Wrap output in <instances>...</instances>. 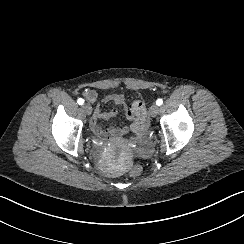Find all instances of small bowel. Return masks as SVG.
I'll return each mask as SVG.
<instances>
[{
  "mask_svg": "<svg viewBox=\"0 0 244 244\" xmlns=\"http://www.w3.org/2000/svg\"><path fill=\"white\" fill-rule=\"evenodd\" d=\"M85 98L91 102L93 106V119H92V127L94 131L101 138H110L113 136H122L127 134L130 130H132L137 136L142 137L144 134V127L136 124L134 114L131 110H129L125 105V99L120 94H111L106 96L103 99L104 103H114L119 106H123L124 108V118L126 120L125 125L116 126L111 125L109 127L104 128L101 124L103 120H109L116 116L115 110H107L103 111L100 108V105L96 103L97 94L93 90H86L84 92Z\"/></svg>",
  "mask_w": 244,
  "mask_h": 244,
  "instance_id": "c3829d8e",
  "label": "small bowel"
}]
</instances>
